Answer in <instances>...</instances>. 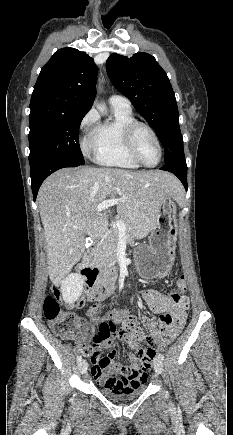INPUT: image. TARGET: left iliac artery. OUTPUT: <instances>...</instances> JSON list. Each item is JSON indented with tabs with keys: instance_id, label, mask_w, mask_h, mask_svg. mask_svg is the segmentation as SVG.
<instances>
[{
	"instance_id": "1",
	"label": "left iliac artery",
	"mask_w": 233,
	"mask_h": 435,
	"mask_svg": "<svg viewBox=\"0 0 233 435\" xmlns=\"http://www.w3.org/2000/svg\"><path fill=\"white\" fill-rule=\"evenodd\" d=\"M158 358L161 359V360H163V359H164V356H163L162 354H159V355H158Z\"/></svg>"
}]
</instances>
